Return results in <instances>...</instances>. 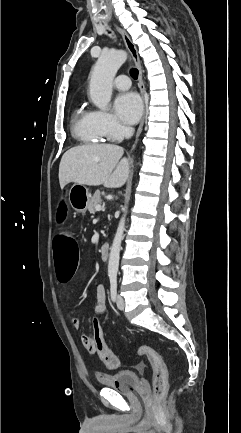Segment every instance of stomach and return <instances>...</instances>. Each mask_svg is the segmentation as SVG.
Here are the masks:
<instances>
[{"label":"stomach","instance_id":"stomach-1","mask_svg":"<svg viewBox=\"0 0 241 433\" xmlns=\"http://www.w3.org/2000/svg\"><path fill=\"white\" fill-rule=\"evenodd\" d=\"M90 198L91 195L88 189L80 184H74L68 193V200L71 207L79 213L86 212Z\"/></svg>","mask_w":241,"mask_h":433}]
</instances>
